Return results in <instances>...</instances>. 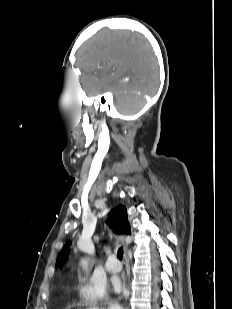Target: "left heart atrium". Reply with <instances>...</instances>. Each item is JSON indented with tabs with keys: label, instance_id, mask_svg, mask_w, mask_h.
Wrapping results in <instances>:
<instances>
[{
	"label": "left heart atrium",
	"instance_id": "1",
	"mask_svg": "<svg viewBox=\"0 0 232 309\" xmlns=\"http://www.w3.org/2000/svg\"><path fill=\"white\" fill-rule=\"evenodd\" d=\"M113 284H114V288L117 292H119V293L124 292L123 286H122V284L119 280L114 279Z\"/></svg>",
	"mask_w": 232,
	"mask_h": 309
}]
</instances>
